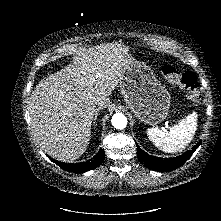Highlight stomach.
<instances>
[{
	"mask_svg": "<svg viewBox=\"0 0 221 221\" xmlns=\"http://www.w3.org/2000/svg\"><path fill=\"white\" fill-rule=\"evenodd\" d=\"M119 87L126 104L141 122L156 125L167 117L169 92L146 63L130 54Z\"/></svg>",
	"mask_w": 221,
	"mask_h": 221,
	"instance_id": "obj_1",
	"label": "stomach"
}]
</instances>
